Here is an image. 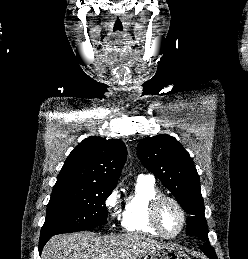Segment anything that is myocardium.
Masks as SVG:
<instances>
[{"label":"myocardium","mask_w":248,"mask_h":259,"mask_svg":"<svg viewBox=\"0 0 248 259\" xmlns=\"http://www.w3.org/2000/svg\"><path fill=\"white\" fill-rule=\"evenodd\" d=\"M166 201H169V202L173 203L177 207V209L179 210V212L181 214V219H182L180 229L178 230V232H176L175 234H172V235L167 234L163 230V228L160 224V220H159L160 207ZM149 217H150L151 225L156 230V232L160 236H162L164 238H167V239H172V238H175V237L179 236L183 232V230L185 229V226H186V223H187V215H186L185 209L183 208L181 203L177 199H175L174 197L169 196V195H165V194L158 195L151 202Z\"/></svg>","instance_id":"f54148a6"}]
</instances>
